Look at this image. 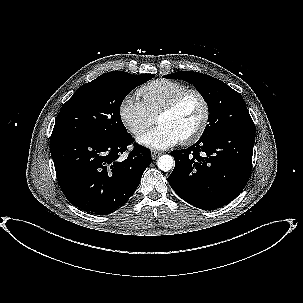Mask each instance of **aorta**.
Returning <instances> with one entry per match:
<instances>
[{
    "instance_id": "1",
    "label": "aorta",
    "mask_w": 303,
    "mask_h": 303,
    "mask_svg": "<svg viewBox=\"0 0 303 303\" xmlns=\"http://www.w3.org/2000/svg\"><path fill=\"white\" fill-rule=\"evenodd\" d=\"M174 163L175 162H174V159L172 156L162 155L158 159L157 166L160 170L167 172L172 169V167L174 166Z\"/></svg>"
}]
</instances>
